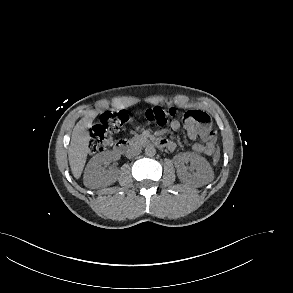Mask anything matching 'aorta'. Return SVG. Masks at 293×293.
<instances>
[{"label":"aorta","mask_w":293,"mask_h":293,"mask_svg":"<svg viewBox=\"0 0 293 293\" xmlns=\"http://www.w3.org/2000/svg\"><path fill=\"white\" fill-rule=\"evenodd\" d=\"M156 154V149L154 146L149 145L145 148V155L148 157H153Z\"/></svg>","instance_id":"aorta-1"}]
</instances>
